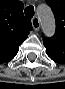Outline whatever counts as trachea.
<instances>
[{
  "instance_id": "obj_1",
  "label": "trachea",
  "mask_w": 65,
  "mask_h": 89,
  "mask_svg": "<svg viewBox=\"0 0 65 89\" xmlns=\"http://www.w3.org/2000/svg\"><path fill=\"white\" fill-rule=\"evenodd\" d=\"M25 16L32 18L34 16V7L33 6H28L24 10Z\"/></svg>"
}]
</instances>
